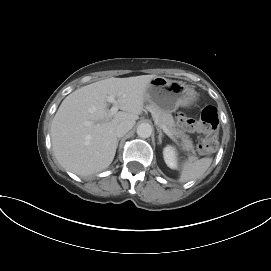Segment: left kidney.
I'll use <instances>...</instances> for the list:
<instances>
[{"mask_svg":"<svg viewBox=\"0 0 271 271\" xmlns=\"http://www.w3.org/2000/svg\"><path fill=\"white\" fill-rule=\"evenodd\" d=\"M164 161L171 169L177 168V153L172 146H166L163 149Z\"/></svg>","mask_w":271,"mask_h":271,"instance_id":"5707ae66","label":"left kidney"}]
</instances>
